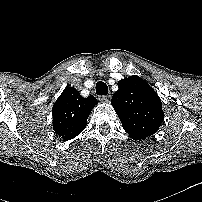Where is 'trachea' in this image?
Wrapping results in <instances>:
<instances>
[{
  "label": "trachea",
  "mask_w": 202,
  "mask_h": 202,
  "mask_svg": "<svg viewBox=\"0 0 202 202\" xmlns=\"http://www.w3.org/2000/svg\"><path fill=\"white\" fill-rule=\"evenodd\" d=\"M96 93L97 95H107L108 94V86L103 82L99 81L96 84Z\"/></svg>",
  "instance_id": "obj_1"
}]
</instances>
